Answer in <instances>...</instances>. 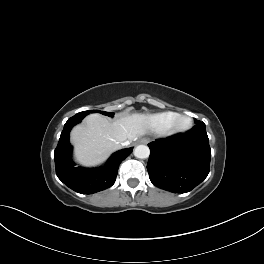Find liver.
Here are the masks:
<instances>
[{
    "mask_svg": "<svg viewBox=\"0 0 264 264\" xmlns=\"http://www.w3.org/2000/svg\"><path fill=\"white\" fill-rule=\"evenodd\" d=\"M147 133L142 114L134 113L110 122L100 114L88 115L84 123L71 131L76 160L85 166L97 165L121 147L123 141L130 142Z\"/></svg>",
    "mask_w": 264,
    "mask_h": 264,
    "instance_id": "obj_1",
    "label": "liver"
}]
</instances>
